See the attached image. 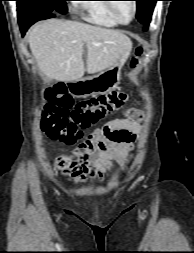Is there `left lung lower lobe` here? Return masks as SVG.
Here are the masks:
<instances>
[{
  "label": "left lung lower lobe",
  "mask_w": 194,
  "mask_h": 253,
  "mask_svg": "<svg viewBox=\"0 0 194 253\" xmlns=\"http://www.w3.org/2000/svg\"><path fill=\"white\" fill-rule=\"evenodd\" d=\"M151 16H152V14L149 16L147 22H146L145 24H143V25H144V30H147V28H148V26H149V23H150V21H151Z\"/></svg>",
  "instance_id": "0a47b994"
}]
</instances>
